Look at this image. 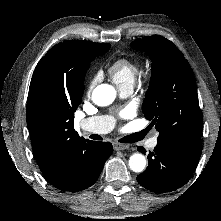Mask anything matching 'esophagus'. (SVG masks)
Wrapping results in <instances>:
<instances>
[{
	"label": "esophagus",
	"mask_w": 221,
	"mask_h": 221,
	"mask_svg": "<svg viewBox=\"0 0 221 221\" xmlns=\"http://www.w3.org/2000/svg\"><path fill=\"white\" fill-rule=\"evenodd\" d=\"M113 148H114L116 151L125 150V149H128V148H129V145H128V144H121V143L114 142V143H113Z\"/></svg>",
	"instance_id": "1"
}]
</instances>
